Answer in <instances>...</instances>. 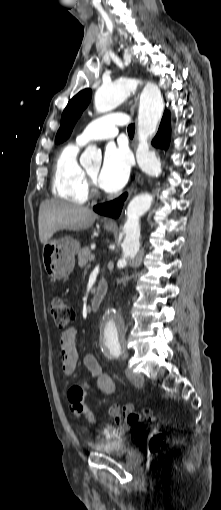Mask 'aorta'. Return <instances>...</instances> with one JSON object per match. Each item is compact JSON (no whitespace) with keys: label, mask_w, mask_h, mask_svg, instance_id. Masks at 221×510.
<instances>
[{"label":"aorta","mask_w":221,"mask_h":510,"mask_svg":"<svg viewBox=\"0 0 221 510\" xmlns=\"http://www.w3.org/2000/svg\"><path fill=\"white\" fill-rule=\"evenodd\" d=\"M134 78H122L102 85L95 93L94 106L98 113L115 109L134 91L138 84ZM164 110L163 98L157 85L147 82L140 95L138 112L139 145L136 152L140 169L149 176L161 173V164L155 153L150 151L148 139L157 129ZM101 158L95 146H89L81 156L82 165H90ZM153 197L149 193L136 195L128 204L126 221L123 226L125 238L122 242V258L118 264L125 266L128 259H134L140 249V217L152 206ZM124 339V325L121 316L113 308L104 309L101 318L100 344L104 350L120 348Z\"/></svg>","instance_id":"aorta-1"}]
</instances>
